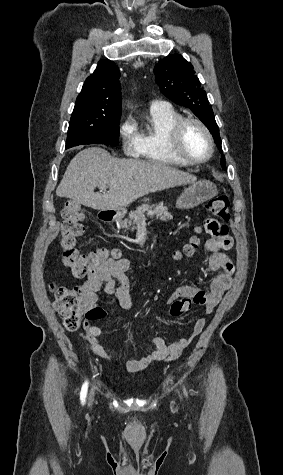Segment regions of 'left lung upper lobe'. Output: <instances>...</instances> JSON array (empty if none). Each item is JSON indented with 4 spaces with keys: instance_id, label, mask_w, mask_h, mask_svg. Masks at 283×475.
Here are the masks:
<instances>
[{
    "instance_id": "5c2ea615",
    "label": "left lung upper lobe",
    "mask_w": 283,
    "mask_h": 475,
    "mask_svg": "<svg viewBox=\"0 0 283 475\" xmlns=\"http://www.w3.org/2000/svg\"><path fill=\"white\" fill-rule=\"evenodd\" d=\"M156 83L170 100L186 106L210 130L217 145H221L218 125L215 121L206 92L194 75L193 66L181 55L173 54L158 62L154 68Z\"/></svg>"
}]
</instances>
